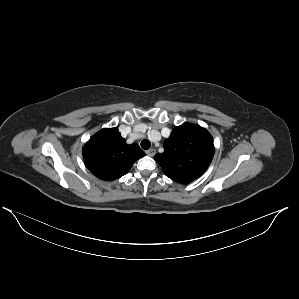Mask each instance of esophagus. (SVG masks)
<instances>
[{"instance_id": "esophagus-1", "label": "esophagus", "mask_w": 299, "mask_h": 299, "mask_svg": "<svg viewBox=\"0 0 299 299\" xmlns=\"http://www.w3.org/2000/svg\"><path fill=\"white\" fill-rule=\"evenodd\" d=\"M155 153H156V150L154 148H151V149H149V150L146 151V154L148 156H154Z\"/></svg>"}]
</instances>
